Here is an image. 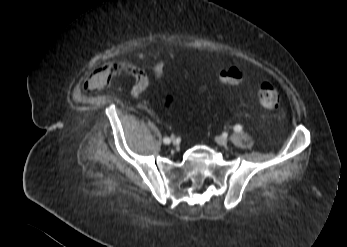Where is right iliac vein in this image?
<instances>
[{"mask_svg": "<svg viewBox=\"0 0 347 247\" xmlns=\"http://www.w3.org/2000/svg\"><path fill=\"white\" fill-rule=\"evenodd\" d=\"M175 141H176V138L172 137V142L175 143Z\"/></svg>", "mask_w": 347, "mask_h": 247, "instance_id": "1", "label": "right iliac vein"}]
</instances>
